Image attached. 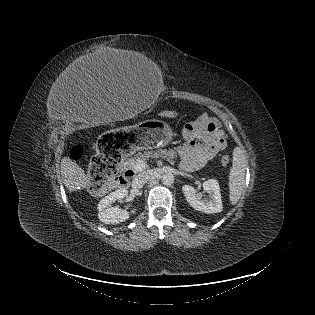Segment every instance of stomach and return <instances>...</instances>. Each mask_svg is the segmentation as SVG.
Segmentation results:
<instances>
[{
	"mask_svg": "<svg viewBox=\"0 0 315 315\" xmlns=\"http://www.w3.org/2000/svg\"><path fill=\"white\" fill-rule=\"evenodd\" d=\"M134 130L114 132L103 136L99 142L101 153L107 157L129 158L141 150L164 147L173 139L171 126L163 120L151 119Z\"/></svg>",
	"mask_w": 315,
	"mask_h": 315,
	"instance_id": "obj_1",
	"label": "stomach"
}]
</instances>
